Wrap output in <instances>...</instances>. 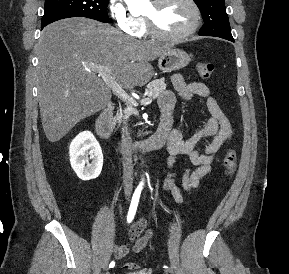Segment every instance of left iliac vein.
<instances>
[{
	"instance_id": "left-iliac-vein-1",
	"label": "left iliac vein",
	"mask_w": 289,
	"mask_h": 274,
	"mask_svg": "<svg viewBox=\"0 0 289 274\" xmlns=\"http://www.w3.org/2000/svg\"><path fill=\"white\" fill-rule=\"evenodd\" d=\"M168 272H169V273H173V270H172V269H169Z\"/></svg>"
}]
</instances>
